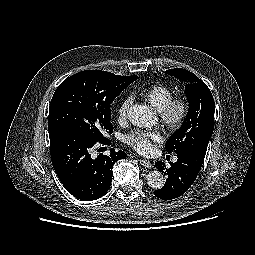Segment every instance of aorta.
Listing matches in <instances>:
<instances>
[{
	"mask_svg": "<svg viewBox=\"0 0 255 255\" xmlns=\"http://www.w3.org/2000/svg\"><path fill=\"white\" fill-rule=\"evenodd\" d=\"M129 121L143 128H150L156 123V116L147 105L135 104L128 112ZM165 176L158 170L151 171L147 175V183L153 189H161L165 185Z\"/></svg>",
	"mask_w": 255,
	"mask_h": 255,
	"instance_id": "1",
	"label": "aorta"
}]
</instances>
